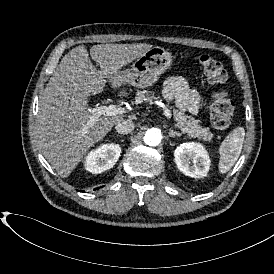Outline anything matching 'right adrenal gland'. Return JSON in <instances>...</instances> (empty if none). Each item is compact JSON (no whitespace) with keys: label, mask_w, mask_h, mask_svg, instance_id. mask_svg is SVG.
Masks as SVG:
<instances>
[{"label":"right adrenal gland","mask_w":274,"mask_h":274,"mask_svg":"<svg viewBox=\"0 0 274 274\" xmlns=\"http://www.w3.org/2000/svg\"><path fill=\"white\" fill-rule=\"evenodd\" d=\"M113 136L120 137V135H119V134H113Z\"/></svg>","instance_id":"2a0ac1e0"}]
</instances>
